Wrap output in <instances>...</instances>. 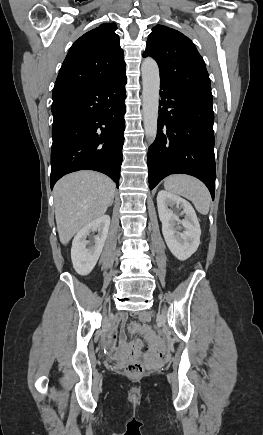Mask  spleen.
Segmentation results:
<instances>
[{"mask_svg":"<svg viewBox=\"0 0 263 435\" xmlns=\"http://www.w3.org/2000/svg\"><path fill=\"white\" fill-rule=\"evenodd\" d=\"M164 187L191 200L199 213L208 214L211 196L207 187L197 178L184 174L172 175L165 179Z\"/></svg>","mask_w":263,"mask_h":435,"instance_id":"obj_1","label":"spleen"}]
</instances>
